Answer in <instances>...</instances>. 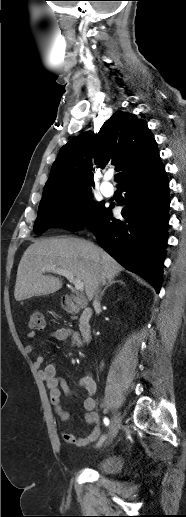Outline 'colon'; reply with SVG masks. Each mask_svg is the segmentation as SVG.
I'll return each instance as SVG.
<instances>
[{
    "instance_id": "5ec220e1",
    "label": "colon",
    "mask_w": 186,
    "mask_h": 517,
    "mask_svg": "<svg viewBox=\"0 0 186 517\" xmlns=\"http://www.w3.org/2000/svg\"><path fill=\"white\" fill-rule=\"evenodd\" d=\"M29 327L32 330H43L45 327L44 314L39 310H34L29 317Z\"/></svg>"
}]
</instances>
